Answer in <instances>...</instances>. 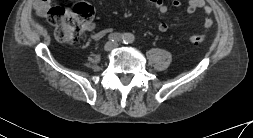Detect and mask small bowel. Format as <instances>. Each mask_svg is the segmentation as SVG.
Here are the masks:
<instances>
[{
  "label": "small bowel",
  "instance_id": "c3829d8e",
  "mask_svg": "<svg viewBox=\"0 0 253 138\" xmlns=\"http://www.w3.org/2000/svg\"><path fill=\"white\" fill-rule=\"evenodd\" d=\"M154 8L160 13H166L168 11V5L164 0H150ZM180 0H173L172 7L175 9L180 8ZM51 7V0H37L34 5V9L38 15H45ZM203 10L206 14L205 27L209 28L213 25V19L211 17L212 9L208 6L204 0H188L187 12L194 13L197 10ZM169 25L166 21H160L157 24V31L165 33L168 31Z\"/></svg>",
  "mask_w": 253,
  "mask_h": 138
}]
</instances>
